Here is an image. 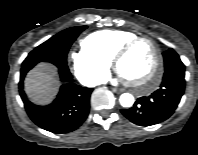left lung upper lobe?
Wrapping results in <instances>:
<instances>
[{
  "instance_id": "5c2ea615",
  "label": "left lung upper lobe",
  "mask_w": 198,
  "mask_h": 155,
  "mask_svg": "<svg viewBox=\"0 0 198 155\" xmlns=\"http://www.w3.org/2000/svg\"><path fill=\"white\" fill-rule=\"evenodd\" d=\"M165 71L173 66H184L180 60L179 55L173 50L169 49L163 52Z\"/></svg>"
}]
</instances>
